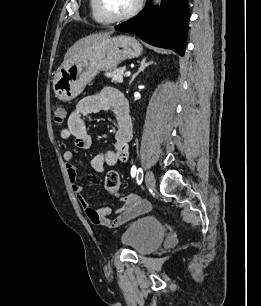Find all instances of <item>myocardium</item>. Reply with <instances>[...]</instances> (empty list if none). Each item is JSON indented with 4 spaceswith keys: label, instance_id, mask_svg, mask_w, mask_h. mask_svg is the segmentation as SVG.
<instances>
[{
    "label": "myocardium",
    "instance_id": "obj_1",
    "mask_svg": "<svg viewBox=\"0 0 261 306\" xmlns=\"http://www.w3.org/2000/svg\"><path fill=\"white\" fill-rule=\"evenodd\" d=\"M143 3L144 0H137L135 6L130 11L122 15H115L111 13L108 10L104 0H97V8L101 15L109 22H120L134 17L142 9Z\"/></svg>",
    "mask_w": 261,
    "mask_h": 306
}]
</instances>
